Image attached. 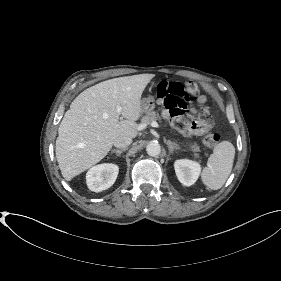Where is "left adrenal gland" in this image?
Wrapping results in <instances>:
<instances>
[{
	"label": "left adrenal gland",
	"instance_id": "1",
	"mask_svg": "<svg viewBox=\"0 0 281 281\" xmlns=\"http://www.w3.org/2000/svg\"><path fill=\"white\" fill-rule=\"evenodd\" d=\"M166 144L168 146L169 152L172 154L174 152V150H179L180 147L178 146V144L171 142L170 140L166 141Z\"/></svg>",
	"mask_w": 281,
	"mask_h": 281
}]
</instances>
